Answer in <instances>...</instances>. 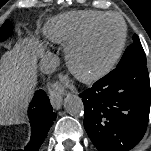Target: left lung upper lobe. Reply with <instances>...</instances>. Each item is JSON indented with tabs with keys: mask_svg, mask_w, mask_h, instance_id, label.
<instances>
[{
	"mask_svg": "<svg viewBox=\"0 0 151 151\" xmlns=\"http://www.w3.org/2000/svg\"><path fill=\"white\" fill-rule=\"evenodd\" d=\"M134 61L146 63L145 52L136 34L133 36V43L127 47L116 68Z\"/></svg>",
	"mask_w": 151,
	"mask_h": 151,
	"instance_id": "1",
	"label": "left lung upper lobe"
}]
</instances>
